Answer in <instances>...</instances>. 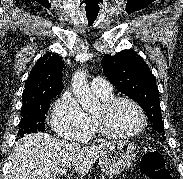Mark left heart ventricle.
<instances>
[{
    "mask_svg": "<svg viewBox=\"0 0 183 179\" xmlns=\"http://www.w3.org/2000/svg\"><path fill=\"white\" fill-rule=\"evenodd\" d=\"M96 115H101V107L96 111ZM105 125L117 133H130L135 131L141 124L138 111L129 103L118 104L109 114L103 116Z\"/></svg>",
    "mask_w": 183,
    "mask_h": 179,
    "instance_id": "obj_1",
    "label": "left heart ventricle"
}]
</instances>
